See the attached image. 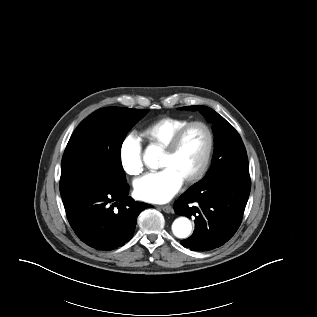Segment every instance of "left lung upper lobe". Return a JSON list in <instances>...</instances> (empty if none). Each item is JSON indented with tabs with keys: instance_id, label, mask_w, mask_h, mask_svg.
I'll return each mask as SVG.
<instances>
[{
	"instance_id": "1",
	"label": "left lung upper lobe",
	"mask_w": 317,
	"mask_h": 317,
	"mask_svg": "<svg viewBox=\"0 0 317 317\" xmlns=\"http://www.w3.org/2000/svg\"><path fill=\"white\" fill-rule=\"evenodd\" d=\"M183 108L200 111L212 123L215 145L212 165L197 184L217 182L232 174H249L246 149L235 128L209 107L194 105Z\"/></svg>"
}]
</instances>
